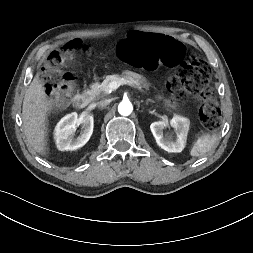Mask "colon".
<instances>
[{
  "instance_id": "colon-1",
  "label": "colon",
  "mask_w": 253,
  "mask_h": 253,
  "mask_svg": "<svg viewBox=\"0 0 253 253\" xmlns=\"http://www.w3.org/2000/svg\"><path fill=\"white\" fill-rule=\"evenodd\" d=\"M117 52L123 61L135 67H176V73L164 84L165 89L177 100L185 94H194L203 124L209 129L218 126L221 110L217 99L207 88L210 68L205 60L188 51L182 43L172 38L132 33L119 44ZM87 53L88 46L74 40L48 55L41 72L48 96L61 101L73 90L74 77L64 67L77 62L82 54Z\"/></svg>"
}]
</instances>
